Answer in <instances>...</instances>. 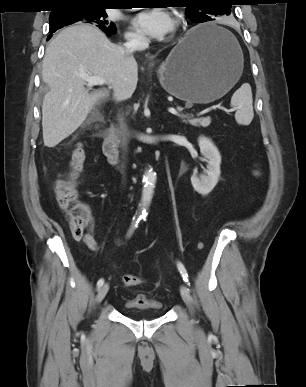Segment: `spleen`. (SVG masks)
<instances>
[{"label": "spleen", "instance_id": "spleen-1", "mask_svg": "<svg viewBox=\"0 0 306 387\" xmlns=\"http://www.w3.org/2000/svg\"><path fill=\"white\" fill-rule=\"evenodd\" d=\"M251 87L244 83L232 96L231 105L236 109L235 119L238 124L249 125L254 117Z\"/></svg>", "mask_w": 306, "mask_h": 387}]
</instances>
